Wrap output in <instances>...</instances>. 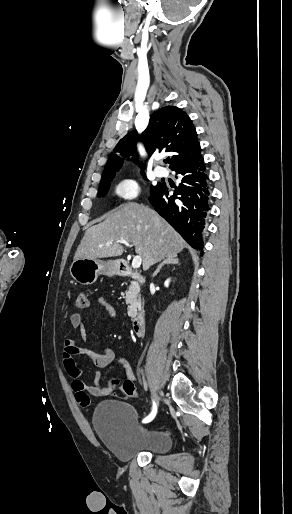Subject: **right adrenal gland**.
<instances>
[{
  "mask_svg": "<svg viewBox=\"0 0 292 514\" xmlns=\"http://www.w3.org/2000/svg\"><path fill=\"white\" fill-rule=\"evenodd\" d=\"M171 264H178V266H180L177 256H170V258H166V260H163L162 264H160L156 272H154L152 278H154V276H157L158 272H160L163 266H171Z\"/></svg>",
  "mask_w": 292,
  "mask_h": 514,
  "instance_id": "right-adrenal-gland-1",
  "label": "right adrenal gland"
}]
</instances>
